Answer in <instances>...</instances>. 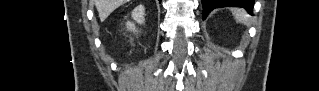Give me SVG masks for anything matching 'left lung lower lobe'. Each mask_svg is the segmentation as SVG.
Segmentation results:
<instances>
[{"mask_svg": "<svg viewBox=\"0 0 319 91\" xmlns=\"http://www.w3.org/2000/svg\"><path fill=\"white\" fill-rule=\"evenodd\" d=\"M227 5L242 7L252 13L254 0H202V19H205L213 9Z\"/></svg>", "mask_w": 319, "mask_h": 91, "instance_id": "obj_1", "label": "left lung lower lobe"}]
</instances>
